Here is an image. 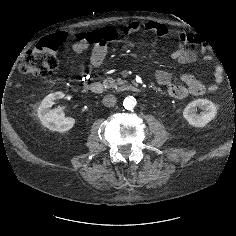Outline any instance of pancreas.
<instances>
[{"label":"pancreas","mask_w":236,"mask_h":236,"mask_svg":"<svg viewBox=\"0 0 236 236\" xmlns=\"http://www.w3.org/2000/svg\"><path fill=\"white\" fill-rule=\"evenodd\" d=\"M125 83H126V81H124L122 79H117L115 82V80L111 77H108L103 81V84L106 88H115L118 85H123Z\"/></svg>","instance_id":"1"}]
</instances>
